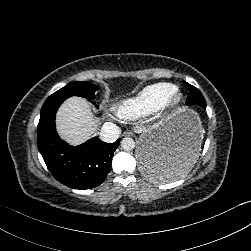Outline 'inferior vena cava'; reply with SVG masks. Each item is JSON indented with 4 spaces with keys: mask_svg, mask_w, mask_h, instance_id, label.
Returning <instances> with one entry per match:
<instances>
[{
    "mask_svg": "<svg viewBox=\"0 0 251 251\" xmlns=\"http://www.w3.org/2000/svg\"><path fill=\"white\" fill-rule=\"evenodd\" d=\"M120 134V128L109 122L105 123L101 128L99 132V138L105 143H113L118 139Z\"/></svg>",
    "mask_w": 251,
    "mask_h": 251,
    "instance_id": "602c4592",
    "label": "inferior vena cava"
}]
</instances>
